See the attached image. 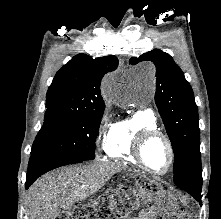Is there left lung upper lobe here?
I'll return each instance as SVG.
<instances>
[{
	"label": "left lung upper lobe",
	"mask_w": 221,
	"mask_h": 219,
	"mask_svg": "<svg viewBox=\"0 0 221 219\" xmlns=\"http://www.w3.org/2000/svg\"><path fill=\"white\" fill-rule=\"evenodd\" d=\"M141 61L156 66L155 103L175 155L174 182L180 188H201L200 130L192 88L169 54L155 49L129 62L135 65Z\"/></svg>",
	"instance_id": "obj_1"
}]
</instances>
